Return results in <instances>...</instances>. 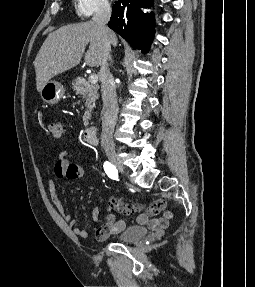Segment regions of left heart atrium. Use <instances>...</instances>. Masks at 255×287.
Segmentation results:
<instances>
[{"label": "left heart atrium", "mask_w": 255, "mask_h": 287, "mask_svg": "<svg viewBox=\"0 0 255 287\" xmlns=\"http://www.w3.org/2000/svg\"><path fill=\"white\" fill-rule=\"evenodd\" d=\"M117 13V12H114ZM79 33H92V32H79ZM77 39H90V38H77ZM83 48H89V47H83Z\"/></svg>", "instance_id": "left-heart-atrium-1"}]
</instances>
